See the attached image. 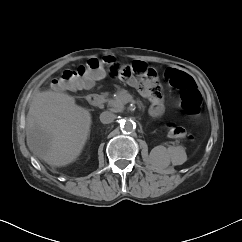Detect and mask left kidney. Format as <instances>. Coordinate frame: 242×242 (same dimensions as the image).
Masks as SVG:
<instances>
[{"label":"left kidney","mask_w":242,"mask_h":242,"mask_svg":"<svg viewBox=\"0 0 242 242\" xmlns=\"http://www.w3.org/2000/svg\"><path fill=\"white\" fill-rule=\"evenodd\" d=\"M167 151L168 149L161 145L154 147L150 154L153 162L159 166H168L171 160L163 158L166 155ZM176 155H180L181 157L180 159H175L173 161L175 165L183 164L187 159L185 151L181 148L177 150Z\"/></svg>","instance_id":"1"}]
</instances>
